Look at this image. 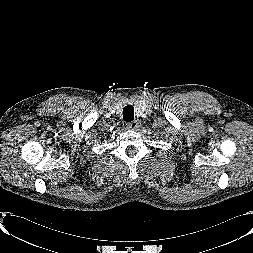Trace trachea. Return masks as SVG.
<instances>
[{"label":"trachea","instance_id":"trachea-1","mask_svg":"<svg viewBox=\"0 0 253 253\" xmlns=\"http://www.w3.org/2000/svg\"><path fill=\"white\" fill-rule=\"evenodd\" d=\"M123 119L126 122H131L134 120V108L131 105H127L123 109Z\"/></svg>","mask_w":253,"mask_h":253}]
</instances>
